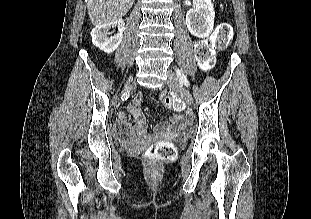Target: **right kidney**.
Masks as SVG:
<instances>
[{"label":"right kidney","instance_id":"obj_1","mask_svg":"<svg viewBox=\"0 0 311 219\" xmlns=\"http://www.w3.org/2000/svg\"><path fill=\"white\" fill-rule=\"evenodd\" d=\"M115 25H118V33L109 37V29ZM124 30L125 23L121 18L102 25H98L91 31L92 43L100 50L110 54L119 47L123 39Z\"/></svg>","mask_w":311,"mask_h":219}]
</instances>
